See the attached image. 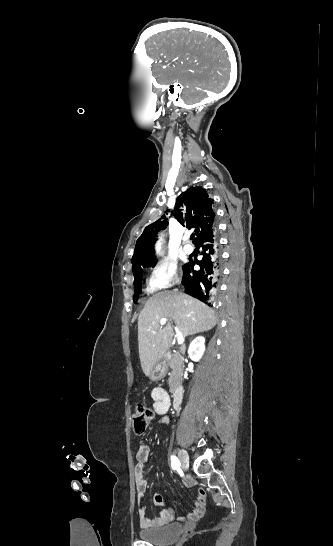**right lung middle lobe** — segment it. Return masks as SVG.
I'll use <instances>...</instances> for the list:
<instances>
[{
	"label": "right lung middle lobe",
	"mask_w": 333,
	"mask_h": 546,
	"mask_svg": "<svg viewBox=\"0 0 333 546\" xmlns=\"http://www.w3.org/2000/svg\"><path fill=\"white\" fill-rule=\"evenodd\" d=\"M140 274H137L135 275V280H134V296H133V301H137V297H138V293H139V285H140V278H139Z\"/></svg>",
	"instance_id": "1"
}]
</instances>
